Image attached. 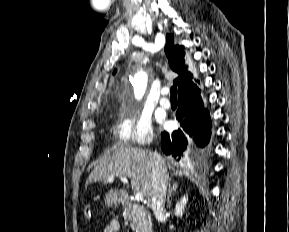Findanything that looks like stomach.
I'll list each match as a JSON object with an SVG mask.
<instances>
[{"label":"stomach","mask_w":289,"mask_h":232,"mask_svg":"<svg viewBox=\"0 0 289 232\" xmlns=\"http://www.w3.org/2000/svg\"><path fill=\"white\" fill-rule=\"evenodd\" d=\"M120 201V195L117 192H109L106 195L105 203L107 206H114Z\"/></svg>","instance_id":"obj_1"}]
</instances>
